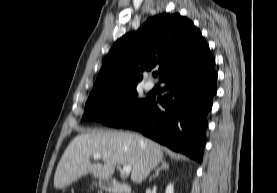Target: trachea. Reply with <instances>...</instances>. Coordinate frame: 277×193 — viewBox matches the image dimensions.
<instances>
[{
  "mask_svg": "<svg viewBox=\"0 0 277 193\" xmlns=\"http://www.w3.org/2000/svg\"><path fill=\"white\" fill-rule=\"evenodd\" d=\"M154 76L156 77V76H158V74H157V73H155V74H154Z\"/></svg>",
  "mask_w": 277,
  "mask_h": 193,
  "instance_id": "trachea-1",
  "label": "trachea"
}]
</instances>
